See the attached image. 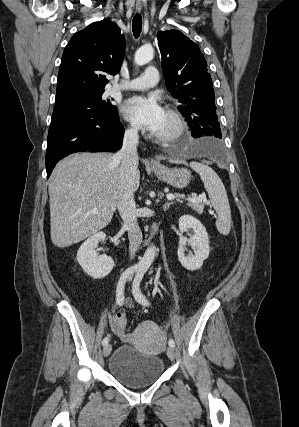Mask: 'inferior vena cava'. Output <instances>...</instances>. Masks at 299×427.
<instances>
[{
	"label": "inferior vena cava",
	"instance_id": "602c4592",
	"mask_svg": "<svg viewBox=\"0 0 299 427\" xmlns=\"http://www.w3.org/2000/svg\"><path fill=\"white\" fill-rule=\"evenodd\" d=\"M138 132L127 129L123 137L122 148L115 154V160L120 161L121 183L117 208L123 220V226L128 231L130 259H134L142 243V232L137 223V209L134 200V180L138 167Z\"/></svg>",
	"mask_w": 299,
	"mask_h": 427
}]
</instances>
